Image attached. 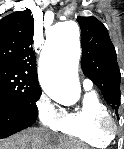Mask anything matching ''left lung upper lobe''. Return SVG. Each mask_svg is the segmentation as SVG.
Instances as JSON below:
<instances>
[{"label":"left lung upper lobe","mask_w":124,"mask_h":149,"mask_svg":"<svg viewBox=\"0 0 124 149\" xmlns=\"http://www.w3.org/2000/svg\"><path fill=\"white\" fill-rule=\"evenodd\" d=\"M81 28L82 71L117 110L120 105L121 74L115 48L106 27L95 17H78Z\"/></svg>","instance_id":"1"}]
</instances>
